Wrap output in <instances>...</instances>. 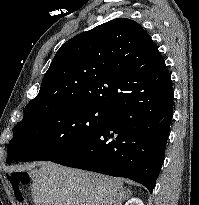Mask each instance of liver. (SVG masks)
<instances>
[{
  "label": "liver",
  "mask_w": 199,
  "mask_h": 205,
  "mask_svg": "<svg viewBox=\"0 0 199 205\" xmlns=\"http://www.w3.org/2000/svg\"><path fill=\"white\" fill-rule=\"evenodd\" d=\"M35 205H121L131 194L120 179L41 162L33 171Z\"/></svg>",
  "instance_id": "obj_1"
}]
</instances>
